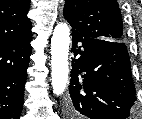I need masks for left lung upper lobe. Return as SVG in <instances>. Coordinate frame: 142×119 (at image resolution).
<instances>
[{
	"label": "left lung upper lobe",
	"mask_w": 142,
	"mask_h": 119,
	"mask_svg": "<svg viewBox=\"0 0 142 119\" xmlns=\"http://www.w3.org/2000/svg\"><path fill=\"white\" fill-rule=\"evenodd\" d=\"M64 17L84 38L123 42L121 12L116 0H66Z\"/></svg>",
	"instance_id": "5c2ea615"
}]
</instances>
